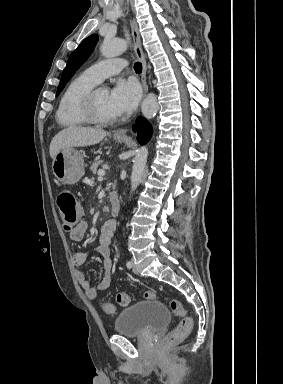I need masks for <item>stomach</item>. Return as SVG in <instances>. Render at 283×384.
Here are the masks:
<instances>
[{"instance_id": "stomach-1", "label": "stomach", "mask_w": 283, "mask_h": 384, "mask_svg": "<svg viewBox=\"0 0 283 384\" xmlns=\"http://www.w3.org/2000/svg\"><path fill=\"white\" fill-rule=\"evenodd\" d=\"M116 142H127L128 138H114ZM52 172L62 184H77L84 176V160L75 148H65L56 154L52 162Z\"/></svg>"}]
</instances>
